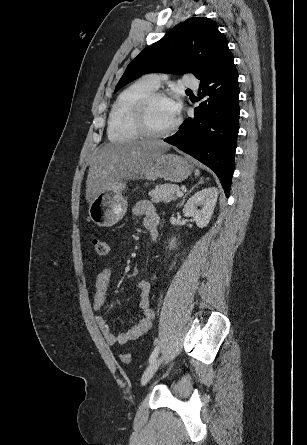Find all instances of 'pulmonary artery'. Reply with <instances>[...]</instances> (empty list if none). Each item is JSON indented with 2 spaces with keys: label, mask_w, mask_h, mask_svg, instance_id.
Masks as SVG:
<instances>
[{
  "label": "pulmonary artery",
  "mask_w": 307,
  "mask_h": 445,
  "mask_svg": "<svg viewBox=\"0 0 307 445\" xmlns=\"http://www.w3.org/2000/svg\"><path fill=\"white\" fill-rule=\"evenodd\" d=\"M147 82L151 87L157 88L160 84V79H149ZM177 87L179 90H198L200 84L198 81H193L192 75H181Z\"/></svg>",
  "instance_id": "e3ab8cb5"
}]
</instances>
